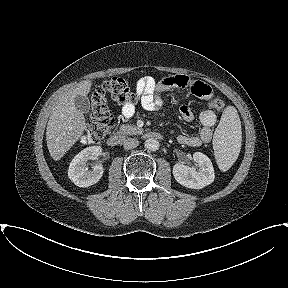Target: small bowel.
I'll use <instances>...</instances> for the list:
<instances>
[{"label":"small bowel","mask_w":288,"mask_h":288,"mask_svg":"<svg viewBox=\"0 0 288 288\" xmlns=\"http://www.w3.org/2000/svg\"><path fill=\"white\" fill-rule=\"evenodd\" d=\"M190 90L194 95L204 100H210L213 97L211 87L201 81H197L185 75H176L156 81L147 76L138 80L136 83V92L139 96L140 106L148 111L157 110L164 104L163 93L169 90H176L182 93L184 90ZM135 104H126L122 107V115L130 119L135 113ZM182 118L187 122H192L194 115L187 105H181L179 108ZM201 129L198 135H179L177 140L180 144L197 147L207 144L211 141L213 131L212 127L217 122V115L210 109L203 110L199 115Z\"/></svg>","instance_id":"small-bowel-1"}]
</instances>
